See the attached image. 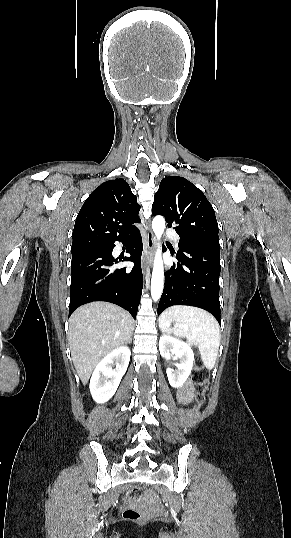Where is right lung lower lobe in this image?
Listing matches in <instances>:
<instances>
[{"mask_svg": "<svg viewBox=\"0 0 291 538\" xmlns=\"http://www.w3.org/2000/svg\"><path fill=\"white\" fill-rule=\"evenodd\" d=\"M117 241L128 246L131 256L123 258V261L134 262L132 269L113 267L118 263V259L112 256L114 242L72 256L69 315L83 304L107 301L121 306L136 318L143 287L140 231L136 229Z\"/></svg>", "mask_w": 291, "mask_h": 538, "instance_id": "98d812e1", "label": "right lung lower lobe"}]
</instances>
